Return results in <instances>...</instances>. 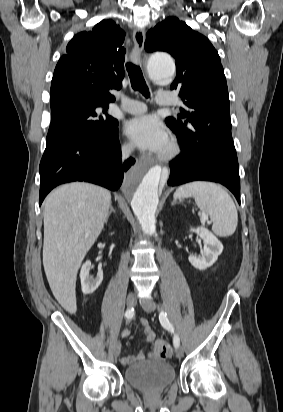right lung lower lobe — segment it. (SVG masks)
<instances>
[{
    "label": "right lung lower lobe",
    "mask_w": 283,
    "mask_h": 412,
    "mask_svg": "<svg viewBox=\"0 0 283 412\" xmlns=\"http://www.w3.org/2000/svg\"><path fill=\"white\" fill-rule=\"evenodd\" d=\"M117 126L101 136L84 132L61 136L46 146L39 167L40 205L54 187L67 182L86 181L111 190L120 187L124 171L135 160L122 164Z\"/></svg>",
    "instance_id": "obj_1"
}]
</instances>
